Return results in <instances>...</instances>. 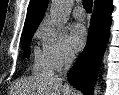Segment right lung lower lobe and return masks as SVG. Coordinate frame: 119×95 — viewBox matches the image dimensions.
Segmentation results:
<instances>
[{
    "label": "right lung lower lobe",
    "mask_w": 119,
    "mask_h": 95,
    "mask_svg": "<svg viewBox=\"0 0 119 95\" xmlns=\"http://www.w3.org/2000/svg\"><path fill=\"white\" fill-rule=\"evenodd\" d=\"M112 0L94 6L87 44L69 72V82L84 95H92L101 59L109 38Z\"/></svg>",
    "instance_id": "obj_1"
}]
</instances>
